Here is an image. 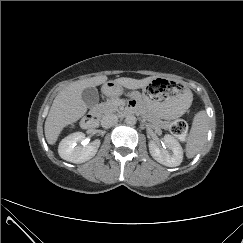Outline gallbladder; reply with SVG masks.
Returning a JSON list of instances; mask_svg holds the SVG:
<instances>
[{
    "label": "gallbladder",
    "instance_id": "1",
    "mask_svg": "<svg viewBox=\"0 0 243 243\" xmlns=\"http://www.w3.org/2000/svg\"><path fill=\"white\" fill-rule=\"evenodd\" d=\"M81 96L84 103L89 108L96 106L97 103L99 102L98 90L95 87H88L84 89Z\"/></svg>",
    "mask_w": 243,
    "mask_h": 243
}]
</instances>
